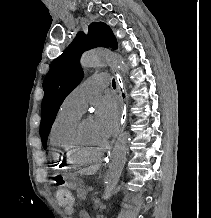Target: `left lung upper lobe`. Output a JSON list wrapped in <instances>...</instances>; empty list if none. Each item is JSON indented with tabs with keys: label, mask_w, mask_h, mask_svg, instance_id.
<instances>
[{
	"label": "left lung upper lobe",
	"mask_w": 211,
	"mask_h": 218,
	"mask_svg": "<svg viewBox=\"0 0 211 218\" xmlns=\"http://www.w3.org/2000/svg\"><path fill=\"white\" fill-rule=\"evenodd\" d=\"M95 47L117 48L112 30L103 22L92 23L87 35L78 33L67 49L52 62L43 81L45 95L41 105L40 136L44 149L62 102L83 78L80 57L84 51Z\"/></svg>",
	"instance_id": "5c2ea615"
}]
</instances>
